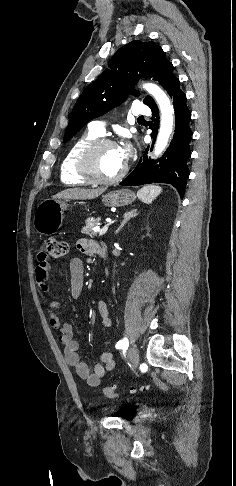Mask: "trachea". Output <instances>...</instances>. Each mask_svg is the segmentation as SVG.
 <instances>
[{"label":"trachea","mask_w":236,"mask_h":486,"mask_svg":"<svg viewBox=\"0 0 236 486\" xmlns=\"http://www.w3.org/2000/svg\"><path fill=\"white\" fill-rule=\"evenodd\" d=\"M139 119H144V117L143 116H140Z\"/></svg>","instance_id":"1"}]
</instances>
